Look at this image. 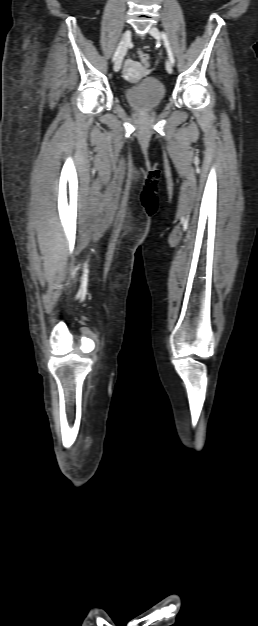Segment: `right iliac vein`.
Returning a JSON list of instances; mask_svg holds the SVG:
<instances>
[{"label":"right iliac vein","mask_w":258,"mask_h":626,"mask_svg":"<svg viewBox=\"0 0 258 626\" xmlns=\"http://www.w3.org/2000/svg\"><path fill=\"white\" fill-rule=\"evenodd\" d=\"M122 41H123V44H122L120 53H119V55H118V57L116 59V62L114 64V71L115 72H118L120 70L121 65H122L123 57H124V55H125V53L127 51V48H128V46L130 44V41H131V31L130 30H126L125 31V33L122 36Z\"/></svg>","instance_id":"63e3f726"}]
</instances>
